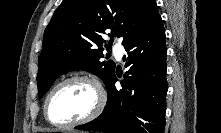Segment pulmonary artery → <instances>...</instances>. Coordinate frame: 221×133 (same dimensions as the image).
Wrapping results in <instances>:
<instances>
[{
    "label": "pulmonary artery",
    "mask_w": 221,
    "mask_h": 133,
    "mask_svg": "<svg viewBox=\"0 0 221 133\" xmlns=\"http://www.w3.org/2000/svg\"><path fill=\"white\" fill-rule=\"evenodd\" d=\"M113 52H114L117 60L120 61L124 55V48L120 44H115L113 47Z\"/></svg>",
    "instance_id": "1"
}]
</instances>
